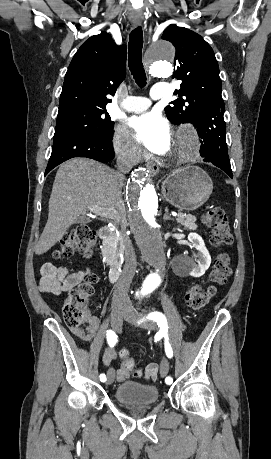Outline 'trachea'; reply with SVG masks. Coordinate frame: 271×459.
I'll list each match as a JSON object with an SVG mask.
<instances>
[{
	"label": "trachea",
	"mask_w": 271,
	"mask_h": 459,
	"mask_svg": "<svg viewBox=\"0 0 271 459\" xmlns=\"http://www.w3.org/2000/svg\"><path fill=\"white\" fill-rule=\"evenodd\" d=\"M142 48L143 31L141 27H137L130 34L128 66L136 84L139 87H145L147 80L142 62Z\"/></svg>",
	"instance_id": "3493384b"
}]
</instances>
